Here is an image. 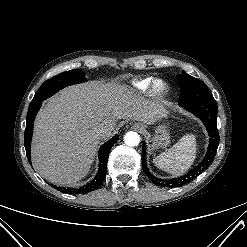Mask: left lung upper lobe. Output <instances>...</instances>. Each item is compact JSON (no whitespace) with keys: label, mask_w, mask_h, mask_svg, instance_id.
<instances>
[{"label":"left lung upper lobe","mask_w":247,"mask_h":247,"mask_svg":"<svg viewBox=\"0 0 247 247\" xmlns=\"http://www.w3.org/2000/svg\"><path fill=\"white\" fill-rule=\"evenodd\" d=\"M178 80L181 87L180 104L213 97L204 82L185 71L178 75Z\"/></svg>","instance_id":"5c2ea615"}]
</instances>
